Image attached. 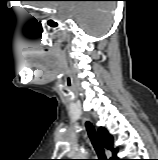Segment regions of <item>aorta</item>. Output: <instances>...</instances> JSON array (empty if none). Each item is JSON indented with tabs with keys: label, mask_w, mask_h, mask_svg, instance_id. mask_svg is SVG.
Masks as SVG:
<instances>
[{
	"label": "aorta",
	"mask_w": 158,
	"mask_h": 160,
	"mask_svg": "<svg viewBox=\"0 0 158 160\" xmlns=\"http://www.w3.org/2000/svg\"><path fill=\"white\" fill-rule=\"evenodd\" d=\"M78 156H79L78 159H85V158H84L85 154H84L83 152H80Z\"/></svg>",
	"instance_id": "762f6f07"
}]
</instances>
